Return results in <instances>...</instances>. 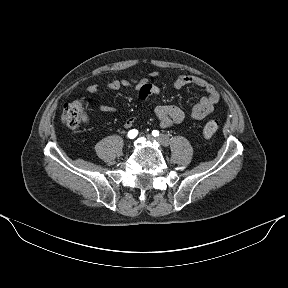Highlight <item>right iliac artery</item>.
I'll return each instance as SVG.
<instances>
[{"label":"right iliac artery","mask_w":288,"mask_h":288,"mask_svg":"<svg viewBox=\"0 0 288 288\" xmlns=\"http://www.w3.org/2000/svg\"><path fill=\"white\" fill-rule=\"evenodd\" d=\"M138 135V131L136 129H132L128 132L127 136L130 139H134Z\"/></svg>","instance_id":"1"}]
</instances>
